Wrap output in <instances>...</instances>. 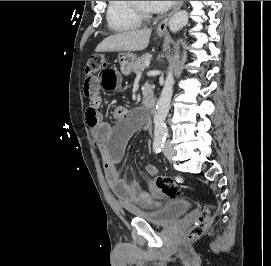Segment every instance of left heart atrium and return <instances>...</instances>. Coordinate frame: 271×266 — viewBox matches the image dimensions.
I'll list each match as a JSON object with an SVG mask.
<instances>
[{
    "mask_svg": "<svg viewBox=\"0 0 271 266\" xmlns=\"http://www.w3.org/2000/svg\"><path fill=\"white\" fill-rule=\"evenodd\" d=\"M176 1H150L153 11H161L170 8Z\"/></svg>",
    "mask_w": 271,
    "mask_h": 266,
    "instance_id": "39dd6f15",
    "label": "left heart atrium"
}]
</instances>
